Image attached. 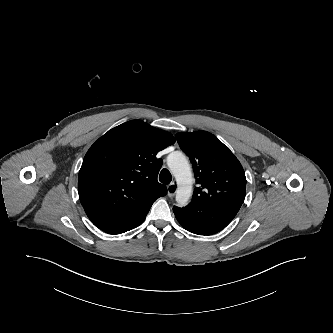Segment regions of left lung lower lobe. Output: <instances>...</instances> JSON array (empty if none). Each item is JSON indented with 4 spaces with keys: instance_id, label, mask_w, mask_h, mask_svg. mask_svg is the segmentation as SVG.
<instances>
[{
    "instance_id": "left-lung-lower-lobe-1",
    "label": "left lung lower lobe",
    "mask_w": 333,
    "mask_h": 333,
    "mask_svg": "<svg viewBox=\"0 0 333 333\" xmlns=\"http://www.w3.org/2000/svg\"><path fill=\"white\" fill-rule=\"evenodd\" d=\"M237 195H226L203 202H190L186 207H173L182 227L198 235H211L225 228L242 205Z\"/></svg>"
}]
</instances>
